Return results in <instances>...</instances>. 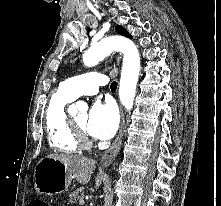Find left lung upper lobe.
<instances>
[{"mask_svg": "<svg viewBox=\"0 0 221 206\" xmlns=\"http://www.w3.org/2000/svg\"><path fill=\"white\" fill-rule=\"evenodd\" d=\"M116 31L121 35H125L127 37L132 38V36L122 26H117Z\"/></svg>", "mask_w": 221, "mask_h": 206, "instance_id": "obj_1", "label": "left lung upper lobe"}]
</instances>
